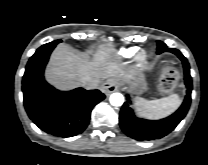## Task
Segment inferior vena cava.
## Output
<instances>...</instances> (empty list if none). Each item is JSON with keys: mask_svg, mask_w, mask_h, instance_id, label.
I'll list each match as a JSON object with an SVG mask.
<instances>
[{"mask_svg": "<svg viewBox=\"0 0 208 165\" xmlns=\"http://www.w3.org/2000/svg\"><path fill=\"white\" fill-rule=\"evenodd\" d=\"M99 84H100L99 79H93V80H90V81L86 82L84 84V87L86 89H96V88H98Z\"/></svg>", "mask_w": 208, "mask_h": 165, "instance_id": "inferior-vena-cava-1", "label": "inferior vena cava"}]
</instances>
